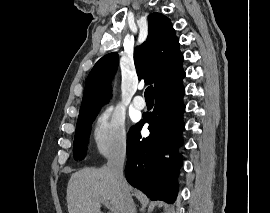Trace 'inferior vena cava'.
<instances>
[{
	"instance_id": "1",
	"label": "inferior vena cava",
	"mask_w": 270,
	"mask_h": 213,
	"mask_svg": "<svg viewBox=\"0 0 270 213\" xmlns=\"http://www.w3.org/2000/svg\"><path fill=\"white\" fill-rule=\"evenodd\" d=\"M126 157V145L122 144L114 148L109 156L107 167L116 180L122 192L123 210L122 213H133V201L130 195L128 184L123 175L124 160Z\"/></svg>"
}]
</instances>
